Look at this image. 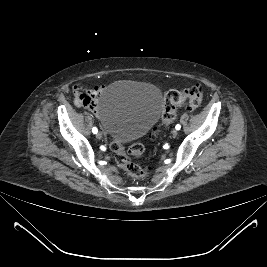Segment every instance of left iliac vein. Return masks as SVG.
<instances>
[{
    "instance_id": "obj_1",
    "label": "left iliac vein",
    "mask_w": 267,
    "mask_h": 267,
    "mask_svg": "<svg viewBox=\"0 0 267 267\" xmlns=\"http://www.w3.org/2000/svg\"><path fill=\"white\" fill-rule=\"evenodd\" d=\"M178 136V131L177 130H173L172 131V137L175 138Z\"/></svg>"
}]
</instances>
